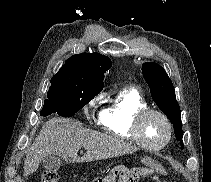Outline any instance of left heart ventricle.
<instances>
[{
    "mask_svg": "<svg viewBox=\"0 0 211 182\" xmlns=\"http://www.w3.org/2000/svg\"><path fill=\"white\" fill-rule=\"evenodd\" d=\"M142 139L149 145H159L167 136V127L156 114L147 115L141 123Z\"/></svg>",
    "mask_w": 211,
    "mask_h": 182,
    "instance_id": "b2bd125f",
    "label": "left heart ventricle"
}]
</instances>
